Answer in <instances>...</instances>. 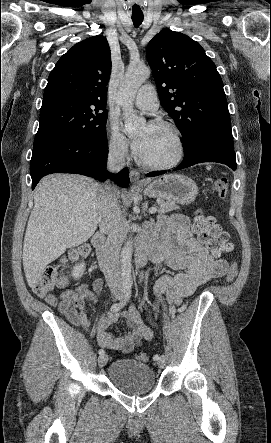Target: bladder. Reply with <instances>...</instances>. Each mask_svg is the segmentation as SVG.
I'll use <instances>...</instances> for the list:
<instances>
[{
    "instance_id": "1",
    "label": "bladder",
    "mask_w": 271,
    "mask_h": 443,
    "mask_svg": "<svg viewBox=\"0 0 271 443\" xmlns=\"http://www.w3.org/2000/svg\"><path fill=\"white\" fill-rule=\"evenodd\" d=\"M108 377L117 389L130 395L148 393L156 385L154 370L145 363L129 358L112 362Z\"/></svg>"
}]
</instances>
